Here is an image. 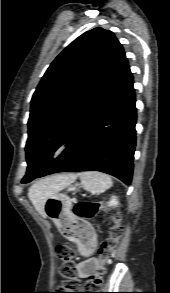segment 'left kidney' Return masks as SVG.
Listing matches in <instances>:
<instances>
[{
	"label": "left kidney",
	"instance_id": "5707ae66",
	"mask_svg": "<svg viewBox=\"0 0 170 293\" xmlns=\"http://www.w3.org/2000/svg\"><path fill=\"white\" fill-rule=\"evenodd\" d=\"M108 206H111V207L118 206V200L115 196H112L111 200L108 202Z\"/></svg>",
	"mask_w": 170,
	"mask_h": 293
}]
</instances>
